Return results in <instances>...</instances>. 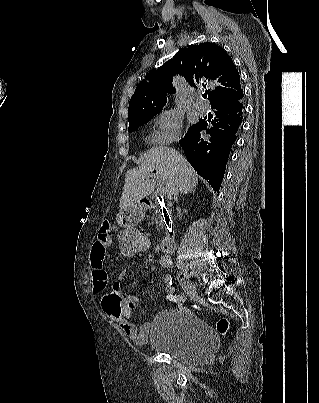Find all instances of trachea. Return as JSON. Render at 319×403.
<instances>
[{
    "instance_id": "3493384b",
    "label": "trachea",
    "mask_w": 319,
    "mask_h": 403,
    "mask_svg": "<svg viewBox=\"0 0 319 403\" xmlns=\"http://www.w3.org/2000/svg\"><path fill=\"white\" fill-rule=\"evenodd\" d=\"M203 97H204V98H207V94H206V93H205V94H203Z\"/></svg>"
}]
</instances>
